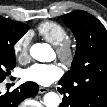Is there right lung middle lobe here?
I'll return each mask as SVG.
<instances>
[{
	"label": "right lung middle lobe",
	"mask_w": 107,
	"mask_h": 107,
	"mask_svg": "<svg viewBox=\"0 0 107 107\" xmlns=\"http://www.w3.org/2000/svg\"><path fill=\"white\" fill-rule=\"evenodd\" d=\"M7 29L9 31V39L0 42V82H2L7 73L15 67L14 44L27 32L26 24L7 20Z\"/></svg>",
	"instance_id": "obj_1"
}]
</instances>
